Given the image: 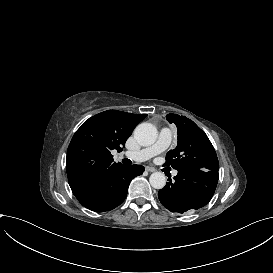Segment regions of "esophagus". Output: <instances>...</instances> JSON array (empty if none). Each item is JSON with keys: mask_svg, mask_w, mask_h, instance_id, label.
Masks as SVG:
<instances>
[{"mask_svg": "<svg viewBox=\"0 0 273 273\" xmlns=\"http://www.w3.org/2000/svg\"><path fill=\"white\" fill-rule=\"evenodd\" d=\"M145 170H146L147 172H150V173L156 171V169H155V168H152V167H146Z\"/></svg>", "mask_w": 273, "mask_h": 273, "instance_id": "obj_1", "label": "esophagus"}]
</instances>
